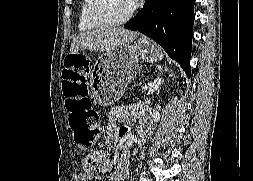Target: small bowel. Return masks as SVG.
I'll use <instances>...</instances> for the list:
<instances>
[{"label":"small bowel","instance_id":"1","mask_svg":"<svg viewBox=\"0 0 253 181\" xmlns=\"http://www.w3.org/2000/svg\"><path fill=\"white\" fill-rule=\"evenodd\" d=\"M80 70L85 73L88 70L89 62L88 58L83 56L80 58L79 63ZM132 112V108L127 106H121L114 108L109 113V124L107 126V139L106 144L109 148H114L119 139L125 135L128 130L126 127H118L115 121L119 118H125L129 116ZM112 173V180L113 181H127L129 180V169L126 163L118 162L115 164L112 161H109L102 171V175ZM94 177L87 173H82L80 175V181H88L93 180Z\"/></svg>","mask_w":253,"mask_h":181}]
</instances>
